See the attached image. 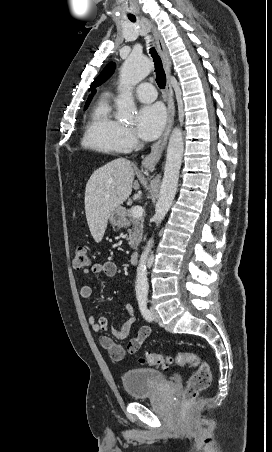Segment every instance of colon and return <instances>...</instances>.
Returning <instances> with one entry per match:
<instances>
[{
  "label": "colon",
  "instance_id": "5ec220e1",
  "mask_svg": "<svg viewBox=\"0 0 272 452\" xmlns=\"http://www.w3.org/2000/svg\"><path fill=\"white\" fill-rule=\"evenodd\" d=\"M75 269H82L90 266L91 260L85 245H78L75 248L73 261ZM138 350V342L132 340L126 346V352L133 354ZM124 353V352H123ZM141 364L166 368L172 364L178 366H193L196 370L189 378L183 394V404H190L197 395L208 388L211 382V369L209 364L201 356L192 352H179L175 355H164L158 353H146L139 359Z\"/></svg>",
  "mask_w": 272,
  "mask_h": 452
}]
</instances>
